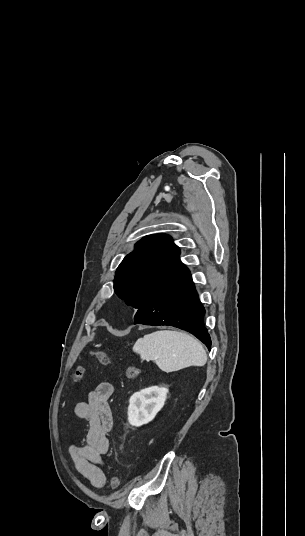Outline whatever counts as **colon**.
I'll use <instances>...</instances> for the list:
<instances>
[{
  "label": "colon",
  "mask_w": 305,
  "mask_h": 536,
  "mask_svg": "<svg viewBox=\"0 0 305 536\" xmlns=\"http://www.w3.org/2000/svg\"><path fill=\"white\" fill-rule=\"evenodd\" d=\"M93 354L95 356H97V358L99 359V361L104 364V365H110L111 364V360L109 358V356H107L104 352H102L101 350L99 349H96ZM140 369L134 365H127L124 369H123V374L130 380H133V379H136L137 377H139L140 375ZM83 377V371L82 370H78L75 374V381H79L81 380ZM119 486V478L115 475H113L111 477V487L112 489H116L117 487Z\"/></svg>",
  "instance_id": "obj_1"
}]
</instances>
